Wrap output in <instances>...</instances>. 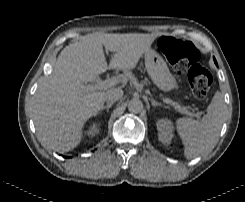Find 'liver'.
Segmentation results:
<instances>
[{
    "label": "liver",
    "instance_id": "obj_1",
    "mask_svg": "<svg viewBox=\"0 0 245 202\" xmlns=\"http://www.w3.org/2000/svg\"><path fill=\"white\" fill-rule=\"evenodd\" d=\"M155 38L154 34L93 33L66 46L35 93L33 118L40 141L61 153L77 147L85 122L105 101L107 91L82 89L84 83L94 81L108 69L103 46L115 52L109 68L128 73Z\"/></svg>",
    "mask_w": 245,
    "mask_h": 202
}]
</instances>
